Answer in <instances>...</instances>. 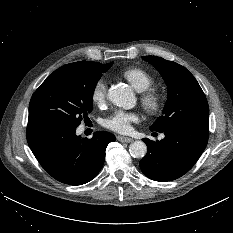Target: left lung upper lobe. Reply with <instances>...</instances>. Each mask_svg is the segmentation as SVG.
Returning <instances> with one entry per match:
<instances>
[{
    "instance_id": "5c2ea615",
    "label": "left lung upper lobe",
    "mask_w": 233,
    "mask_h": 233,
    "mask_svg": "<svg viewBox=\"0 0 233 233\" xmlns=\"http://www.w3.org/2000/svg\"><path fill=\"white\" fill-rule=\"evenodd\" d=\"M164 78L168 98L160 116L150 130L163 132L185 123L209 124V106L194 76L183 66L157 56H144Z\"/></svg>"
}]
</instances>
